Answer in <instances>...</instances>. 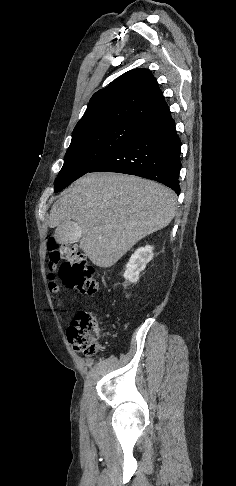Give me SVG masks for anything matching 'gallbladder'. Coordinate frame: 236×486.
Returning <instances> with one entry per match:
<instances>
[{"mask_svg": "<svg viewBox=\"0 0 236 486\" xmlns=\"http://www.w3.org/2000/svg\"><path fill=\"white\" fill-rule=\"evenodd\" d=\"M79 227L76 223L70 222L65 225H60L55 230V240L59 244H68L77 241L79 234Z\"/></svg>", "mask_w": 236, "mask_h": 486, "instance_id": "obj_1", "label": "gallbladder"}]
</instances>
